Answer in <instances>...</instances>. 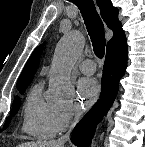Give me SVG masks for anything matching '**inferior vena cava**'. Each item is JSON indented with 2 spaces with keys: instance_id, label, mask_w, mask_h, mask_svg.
Returning a JSON list of instances; mask_svg holds the SVG:
<instances>
[{
  "instance_id": "obj_1",
  "label": "inferior vena cava",
  "mask_w": 145,
  "mask_h": 147,
  "mask_svg": "<svg viewBox=\"0 0 145 147\" xmlns=\"http://www.w3.org/2000/svg\"><path fill=\"white\" fill-rule=\"evenodd\" d=\"M79 116H80V113L78 111L75 112V122L79 119ZM73 128V125H71L69 131L64 134L63 136H61L59 139H58V144H60L61 146H63V144L69 139V136H70V132Z\"/></svg>"
}]
</instances>
